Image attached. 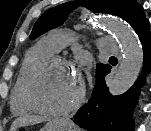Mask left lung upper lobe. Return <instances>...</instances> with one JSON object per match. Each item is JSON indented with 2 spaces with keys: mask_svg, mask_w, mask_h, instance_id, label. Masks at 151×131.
I'll return each mask as SVG.
<instances>
[{
  "mask_svg": "<svg viewBox=\"0 0 151 131\" xmlns=\"http://www.w3.org/2000/svg\"><path fill=\"white\" fill-rule=\"evenodd\" d=\"M83 5L93 12L108 13L121 17L130 25L142 8L136 0H78L66 2L47 10L35 23L30 39H35L46 31L61 25L69 13L77 6ZM108 64H98L96 77L107 67Z\"/></svg>",
  "mask_w": 151,
  "mask_h": 131,
  "instance_id": "obj_1",
  "label": "left lung upper lobe"
}]
</instances>
